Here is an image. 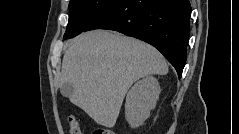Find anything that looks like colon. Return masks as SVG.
Listing matches in <instances>:
<instances>
[{
	"label": "colon",
	"instance_id": "1",
	"mask_svg": "<svg viewBox=\"0 0 239 134\" xmlns=\"http://www.w3.org/2000/svg\"><path fill=\"white\" fill-rule=\"evenodd\" d=\"M68 122H69V129H70V133L71 134H79V127L77 125V122L75 120V118L73 116H70L68 118ZM94 134H114L111 130L108 129H104V128H100L97 129Z\"/></svg>",
	"mask_w": 239,
	"mask_h": 134
}]
</instances>
